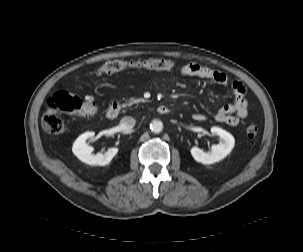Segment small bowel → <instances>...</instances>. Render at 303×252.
I'll return each instance as SVG.
<instances>
[{
	"mask_svg": "<svg viewBox=\"0 0 303 252\" xmlns=\"http://www.w3.org/2000/svg\"><path fill=\"white\" fill-rule=\"evenodd\" d=\"M179 73L182 76L203 78L218 85L230 84L235 104H226L219 108L214 115L215 121L236 126L240 123L241 119L246 116L247 108L245 105V89L237 83H229L226 75L197 63L182 66ZM192 118L196 122H203L206 119L205 115L202 113H195Z\"/></svg>",
	"mask_w": 303,
	"mask_h": 252,
	"instance_id": "obj_1",
	"label": "small bowel"
}]
</instances>
